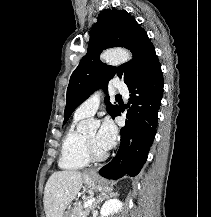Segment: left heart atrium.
Returning <instances> with one entry per match:
<instances>
[{
	"instance_id": "1",
	"label": "left heart atrium",
	"mask_w": 211,
	"mask_h": 217,
	"mask_svg": "<svg viewBox=\"0 0 211 217\" xmlns=\"http://www.w3.org/2000/svg\"><path fill=\"white\" fill-rule=\"evenodd\" d=\"M116 128L110 119H105L96 136V142L100 148L103 150H109L116 140Z\"/></svg>"
}]
</instances>
